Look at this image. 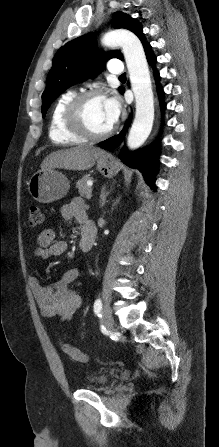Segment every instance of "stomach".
<instances>
[{"label": "stomach", "instance_id": "obj_1", "mask_svg": "<svg viewBox=\"0 0 219 447\" xmlns=\"http://www.w3.org/2000/svg\"><path fill=\"white\" fill-rule=\"evenodd\" d=\"M97 169L104 177L111 178L118 173L119 164L112 155L104 153L97 159ZM69 188L67 177L54 169H41L28 182L30 195L41 203H51L63 198Z\"/></svg>", "mask_w": 219, "mask_h": 447}]
</instances>
